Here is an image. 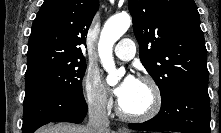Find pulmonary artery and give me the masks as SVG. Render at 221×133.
<instances>
[{"instance_id":"1","label":"pulmonary artery","mask_w":221,"mask_h":133,"mask_svg":"<svg viewBox=\"0 0 221 133\" xmlns=\"http://www.w3.org/2000/svg\"><path fill=\"white\" fill-rule=\"evenodd\" d=\"M114 53L121 60H130L135 55V44L131 39L125 38L115 47Z\"/></svg>"}]
</instances>
